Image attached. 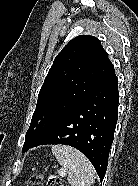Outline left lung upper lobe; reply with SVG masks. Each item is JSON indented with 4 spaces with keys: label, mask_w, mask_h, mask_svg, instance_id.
<instances>
[{
    "label": "left lung upper lobe",
    "mask_w": 138,
    "mask_h": 186,
    "mask_svg": "<svg viewBox=\"0 0 138 186\" xmlns=\"http://www.w3.org/2000/svg\"><path fill=\"white\" fill-rule=\"evenodd\" d=\"M114 69L99 39L81 35L56 56L39 92L23 148L35 143Z\"/></svg>",
    "instance_id": "1"
}]
</instances>
